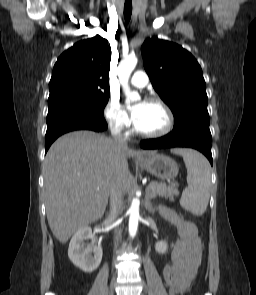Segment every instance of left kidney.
Returning a JSON list of instances; mask_svg holds the SVG:
<instances>
[{
  "label": "left kidney",
  "instance_id": "1",
  "mask_svg": "<svg viewBox=\"0 0 256 295\" xmlns=\"http://www.w3.org/2000/svg\"><path fill=\"white\" fill-rule=\"evenodd\" d=\"M156 252L163 254L167 251L168 245L165 241L157 242L155 245Z\"/></svg>",
  "mask_w": 256,
  "mask_h": 295
}]
</instances>
